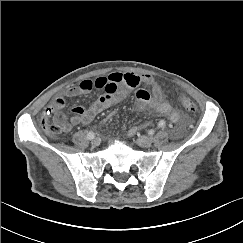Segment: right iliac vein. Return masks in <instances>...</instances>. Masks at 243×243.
<instances>
[{"label":"right iliac vein","instance_id":"63e3f726","mask_svg":"<svg viewBox=\"0 0 243 243\" xmlns=\"http://www.w3.org/2000/svg\"><path fill=\"white\" fill-rule=\"evenodd\" d=\"M100 142H101V140H100V138H98V137L93 138V139L91 140V144H92L93 146H99V145H100Z\"/></svg>","mask_w":243,"mask_h":243}]
</instances>
